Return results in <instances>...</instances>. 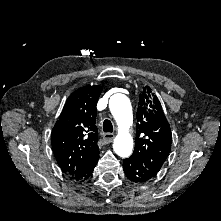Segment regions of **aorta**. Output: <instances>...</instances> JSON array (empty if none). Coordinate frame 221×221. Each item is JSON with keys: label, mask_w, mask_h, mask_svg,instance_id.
I'll return each mask as SVG.
<instances>
[{"label": "aorta", "mask_w": 221, "mask_h": 221, "mask_svg": "<svg viewBox=\"0 0 221 221\" xmlns=\"http://www.w3.org/2000/svg\"><path fill=\"white\" fill-rule=\"evenodd\" d=\"M110 111L118 125V135L114 139L113 149L123 158L129 157L133 149V138L128 133L132 125V107L130 100L123 94H115L109 101Z\"/></svg>", "instance_id": "762f6f07"}]
</instances>
